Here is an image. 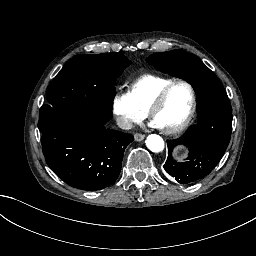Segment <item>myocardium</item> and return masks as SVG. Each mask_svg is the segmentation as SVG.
Here are the masks:
<instances>
[{"instance_id":"f54148a6","label":"myocardium","mask_w":256,"mask_h":256,"mask_svg":"<svg viewBox=\"0 0 256 256\" xmlns=\"http://www.w3.org/2000/svg\"><path fill=\"white\" fill-rule=\"evenodd\" d=\"M178 83H182L186 85L191 93V108L185 119L176 127H174L171 131L166 132L167 135H172L182 131L187 125L190 123L191 119L193 118L196 107H197V100H196V93L192 86V84L185 78L178 77L174 81H172L168 86H166L158 95L157 97L145 108V112L149 117H152V112L159 108L163 102L166 100L169 91L173 86Z\"/></svg>"}]
</instances>
